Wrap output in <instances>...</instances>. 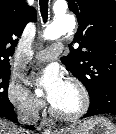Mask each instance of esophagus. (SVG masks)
<instances>
[{
  "label": "esophagus",
  "instance_id": "obj_1",
  "mask_svg": "<svg viewBox=\"0 0 116 134\" xmlns=\"http://www.w3.org/2000/svg\"><path fill=\"white\" fill-rule=\"evenodd\" d=\"M40 125L41 126H47V125H53V122L51 120H48V119H42L41 122H40Z\"/></svg>",
  "mask_w": 116,
  "mask_h": 134
}]
</instances>
